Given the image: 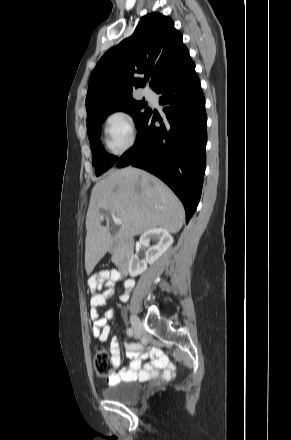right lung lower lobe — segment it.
<instances>
[{"label":"right lung lower lobe","instance_id":"right-lung-lower-lobe-1","mask_svg":"<svg viewBox=\"0 0 291 440\" xmlns=\"http://www.w3.org/2000/svg\"><path fill=\"white\" fill-rule=\"evenodd\" d=\"M155 92L162 94L159 103L165 116L149 109L137 126L134 146L121 156L117 167L132 165L163 180L182 201L188 223L201 196L207 143L205 98L195 65Z\"/></svg>","mask_w":291,"mask_h":440}]
</instances>
